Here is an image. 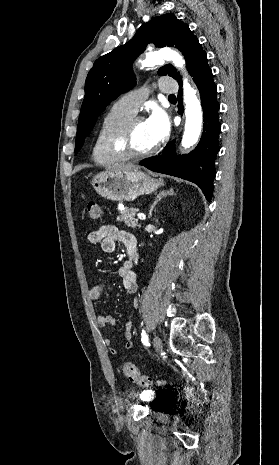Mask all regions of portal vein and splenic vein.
<instances>
[{
	"label": "portal vein and splenic vein",
	"mask_w": 279,
	"mask_h": 465,
	"mask_svg": "<svg viewBox=\"0 0 279 465\" xmlns=\"http://www.w3.org/2000/svg\"><path fill=\"white\" fill-rule=\"evenodd\" d=\"M137 217H138L140 220H145V219H146V215L143 214V213H138V214H137Z\"/></svg>",
	"instance_id": "18ae733b"
}]
</instances>
